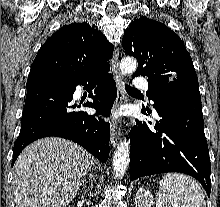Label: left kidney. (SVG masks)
I'll use <instances>...</instances> for the list:
<instances>
[{
	"mask_svg": "<svg viewBox=\"0 0 220 207\" xmlns=\"http://www.w3.org/2000/svg\"><path fill=\"white\" fill-rule=\"evenodd\" d=\"M153 205V196L144 187L138 189L135 195V207H151Z\"/></svg>",
	"mask_w": 220,
	"mask_h": 207,
	"instance_id": "1",
	"label": "left kidney"
}]
</instances>
